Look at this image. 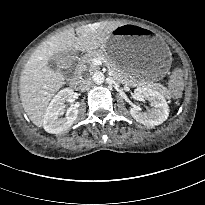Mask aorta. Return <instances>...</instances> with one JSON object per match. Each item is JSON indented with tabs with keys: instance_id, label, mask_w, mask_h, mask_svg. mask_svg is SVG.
<instances>
[{
	"instance_id": "obj_1",
	"label": "aorta",
	"mask_w": 205,
	"mask_h": 205,
	"mask_svg": "<svg viewBox=\"0 0 205 205\" xmlns=\"http://www.w3.org/2000/svg\"><path fill=\"white\" fill-rule=\"evenodd\" d=\"M105 76L102 72L97 71L93 74V80L97 84H101L104 82Z\"/></svg>"
}]
</instances>
